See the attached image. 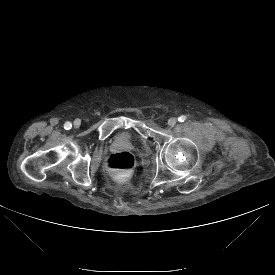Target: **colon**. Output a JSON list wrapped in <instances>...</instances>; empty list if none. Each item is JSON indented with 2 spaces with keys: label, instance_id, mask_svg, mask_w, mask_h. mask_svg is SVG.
Listing matches in <instances>:
<instances>
[{
  "label": "colon",
  "instance_id": "colon-1",
  "mask_svg": "<svg viewBox=\"0 0 275 275\" xmlns=\"http://www.w3.org/2000/svg\"><path fill=\"white\" fill-rule=\"evenodd\" d=\"M105 164L108 170L116 172L122 179H126L134 168L135 160L130 152L120 151L109 155Z\"/></svg>",
  "mask_w": 275,
  "mask_h": 275
}]
</instances>
